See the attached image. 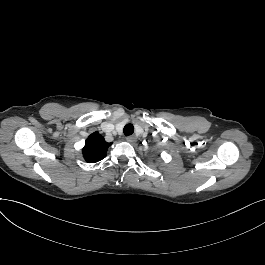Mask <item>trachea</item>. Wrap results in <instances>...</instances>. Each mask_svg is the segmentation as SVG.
<instances>
[{
    "mask_svg": "<svg viewBox=\"0 0 265 265\" xmlns=\"http://www.w3.org/2000/svg\"><path fill=\"white\" fill-rule=\"evenodd\" d=\"M125 136H129L131 134H133L134 132V126L132 124H127L125 127H124V130H123Z\"/></svg>",
    "mask_w": 265,
    "mask_h": 265,
    "instance_id": "trachea-1",
    "label": "trachea"
}]
</instances>
